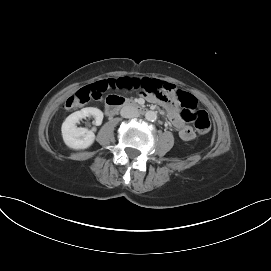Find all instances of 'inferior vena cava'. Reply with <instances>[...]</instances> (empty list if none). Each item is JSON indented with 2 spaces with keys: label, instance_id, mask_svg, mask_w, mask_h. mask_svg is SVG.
I'll return each mask as SVG.
<instances>
[{
  "label": "inferior vena cava",
  "instance_id": "1",
  "mask_svg": "<svg viewBox=\"0 0 271 271\" xmlns=\"http://www.w3.org/2000/svg\"><path fill=\"white\" fill-rule=\"evenodd\" d=\"M120 113H121V116L124 118H133L138 115L137 111L132 106H129V105L124 106L121 109Z\"/></svg>",
  "mask_w": 271,
  "mask_h": 271
}]
</instances>
